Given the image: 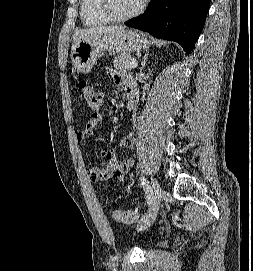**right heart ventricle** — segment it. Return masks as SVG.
<instances>
[{"mask_svg": "<svg viewBox=\"0 0 253 271\" xmlns=\"http://www.w3.org/2000/svg\"><path fill=\"white\" fill-rule=\"evenodd\" d=\"M80 17L87 27L101 26L111 22L101 11L99 0H80Z\"/></svg>", "mask_w": 253, "mask_h": 271, "instance_id": "obj_1", "label": "right heart ventricle"}]
</instances>
